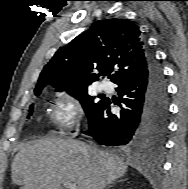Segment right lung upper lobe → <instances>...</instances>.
<instances>
[{
	"label": "right lung upper lobe",
	"mask_w": 188,
	"mask_h": 189,
	"mask_svg": "<svg viewBox=\"0 0 188 189\" xmlns=\"http://www.w3.org/2000/svg\"><path fill=\"white\" fill-rule=\"evenodd\" d=\"M149 53L139 27L131 21L99 20L59 48L43 68L34 92H41L48 84L55 88H87L100 75L110 72H115L111 80L118 84L145 73Z\"/></svg>",
	"instance_id": "right-lung-upper-lobe-1"
}]
</instances>
